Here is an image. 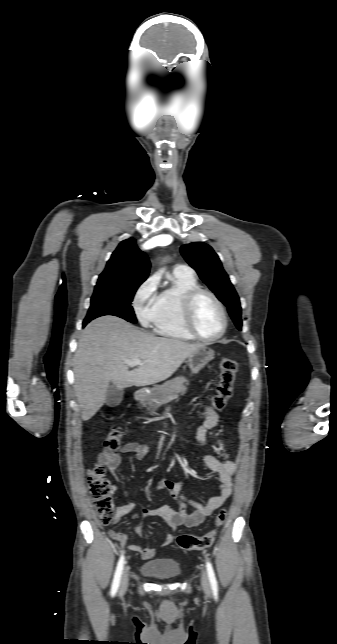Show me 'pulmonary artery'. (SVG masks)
Segmentation results:
<instances>
[{"mask_svg": "<svg viewBox=\"0 0 337 644\" xmlns=\"http://www.w3.org/2000/svg\"><path fill=\"white\" fill-rule=\"evenodd\" d=\"M175 270H177V271H185V272H192L193 273L192 269L190 267L186 266V265H177Z\"/></svg>", "mask_w": 337, "mask_h": 644, "instance_id": "e3ab8cb5", "label": "pulmonary artery"}]
</instances>
